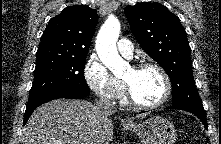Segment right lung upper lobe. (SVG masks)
<instances>
[{"mask_svg": "<svg viewBox=\"0 0 221 144\" xmlns=\"http://www.w3.org/2000/svg\"><path fill=\"white\" fill-rule=\"evenodd\" d=\"M97 25V11L85 5L65 8L51 18L42 35L38 55L87 56Z\"/></svg>", "mask_w": 221, "mask_h": 144, "instance_id": "1", "label": "right lung upper lobe"}]
</instances>
